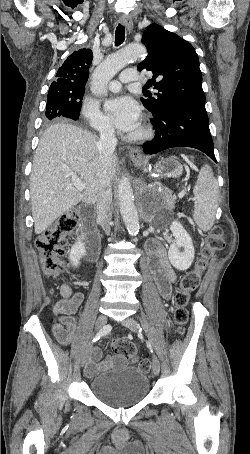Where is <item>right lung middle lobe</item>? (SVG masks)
<instances>
[{
	"label": "right lung middle lobe",
	"instance_id": "1",
	"mask_svg": "<svg viewBox=\"0 0 250 454\" xmlns=\"http://www.w3.org/2000/svg\"><path fill=\"white\" fill-rule=\"evenodd\" d=\"M84 91L76 95H62L57 92H48L45 122L59 117H66L73 120L79 119V114L82 106V98Z\"/></svg>",
	"mask_w": 250,
	"mask_h": 454
}]
</instances>
